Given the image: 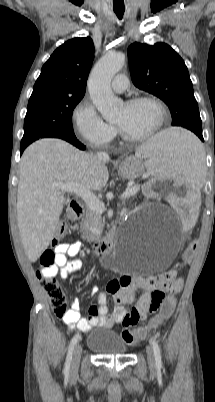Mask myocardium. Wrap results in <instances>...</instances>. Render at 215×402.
Masks as SVG:
<instances>
[{
  "label": "myocardium",
  "mask_w": 215,
  "mask_h": 402,
  "mask_svg": "<svg viewBox=\"0 0 215 402\" xmlns=\"http://www.w3.org/2000/svg\"><path fill=\"white\" fill-rule=\"evenodd\" d=\"M139 102H150V103L154 104L159 112V120L153 130H151L147 134H144L141 136L129 135L127 132H125V130L120 125L117 124V128H118V131H119V134L121 135V137L125 141L130 142V143L144 142V141H147V140L153 138L154 136H156L164 127L166 118H167V110H166L165 105L162 103V101L160 99H158L155 96L141 95V96L132 97V98L128 99L125 102V104L130 106V105L137 104Z\"/></svg>",
  "instance_id": "f54148a6"
}]
</instances>
